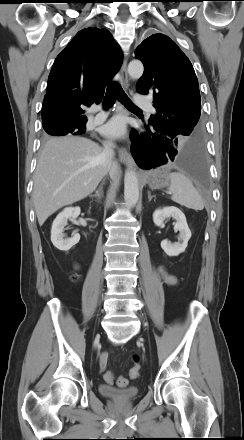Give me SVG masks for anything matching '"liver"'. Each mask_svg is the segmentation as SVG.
<instances>
[{
	"instance_id": "6515ba94",
	"label": "liver",
	"mask_w": 244,
	"mask_h": 440,
	"mask_svg": "<svg viewBox=\"0 0 244 440\" xmlns=\"http://www.w3.org/2000/svg\"><path fill=\"white\" fill-rule=\"evenodd\" d=\"M103 150L84 137L50 139L41 150L34 173L32 199L40 226L58 209L90 195L107 173ZM111 175L119 173L111 165Z\"/></svg>"
}]
</instances>
